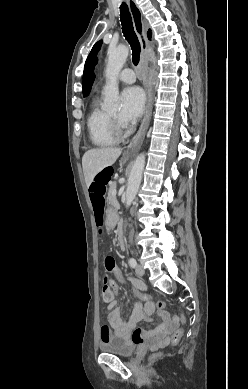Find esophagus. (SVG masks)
I'll return each instance as SVG.
<instances>
[{
	"mask_svg": "<svg viewBox=\"0 0 248 389\" xmlns=\"http://www.w3.org/2000/svg\"><path fill=\"white\" fill-rule=\"evenodd\" d=\"M129 10L133 19L135 31L139 37L140 43H141V50L143 55L149 54L151 52L150 45L148 43V40L146 38L145 33V25L142 20V13L138 5L136 4L135 0H127ZM147 89V105L145 110V116L143 118V121L141 123V126L135 135L132 143L129 146V150L133 149L135 145L138 143V141L144 136L145 131L148 127L149 120L152 113V87L150 85L146 86Z\"/></svg>",
	"mask_w": 248,
	"mask_h": 389,
	"instance_id": "34e87169",
	"label": "esophagus"
}]
</instances>
